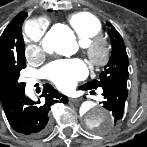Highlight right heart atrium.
I'll return each instance as SVG.
<instances>
[{"label":"right heart atrium","mask_w":147,"mask_h":147,"mask_svg":"<svg viewBox=\"0 0 147 147\" xmlns=\"http://www.w3.org/2000/svg\"><path fill=\"white\" fill-rule=\"evenodd\" d=\"M47 29V22L44 19H37L29 22L26 26L27 47L26 55L30 58H37L43 52L42 40Z\"/></svg>","instance_id":"obj_1"}]
</instances>
